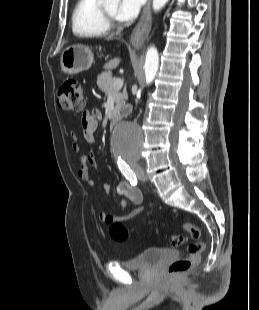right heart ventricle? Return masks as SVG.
<instances>
[{"label":"right heart ventricle","instance_id":"e07e8e85","mask_svg":"<svg viewBox=\"0 0 259 310\" xmlns=\"http://www.w3.org/2000/svg\"><path fill=\"white\" fill-rule=\"evenodd\" d=\"M100 0H77L72 14V28L76 35L98 37L108 32L99 13Z\"/></svg>","mask_w":259,"mask_h":310}]
</instances>
